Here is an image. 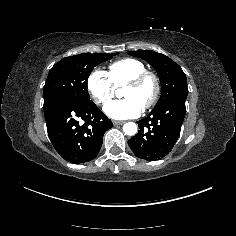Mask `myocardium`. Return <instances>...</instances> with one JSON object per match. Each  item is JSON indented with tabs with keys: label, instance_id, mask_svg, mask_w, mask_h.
<instances>
[{
	"label": "myocardium",
	"instance_id": "obj_1",
	"mask_svg": "<svg viewBox=\"0 0 236 236\" xmlns=\"http://www.w3.org/2000/svg\"><path fill=\"white\" fill-rule=\"evenodd\" d=\"M147 80H149L152 84V92H151L150 98L148 99L146 104L143 106L144 109H148L151 106H153L159 97L160 82L157 75L154 72L145 70L133 76L124 85V88L136 87Z\"/></svg>",
	"mask_w": 236,
	"mask_h": 236
}]
</instances>
